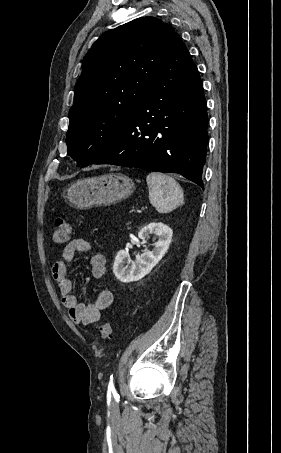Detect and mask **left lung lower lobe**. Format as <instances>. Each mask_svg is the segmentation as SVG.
Listing matches in <instances>:
<instances>
[{
	"label": "left lung lower lobe",
	"instance_id": "left-lung-lower-lobe-1",
	"mask_svg": "<svg viewBox=\"0 0 281 453\" xmlns=\"http://www.w3.org/2000/svg\"><path fill=\"white\" fill-rule=\"evenodd\" d=\"M207 125L202 81L177 35L167 61L125 128L92 164L177 173L203 188Z\"/></svg>",
	"mask_w": 281,
	"mask_h": 453
}]
</instances>
